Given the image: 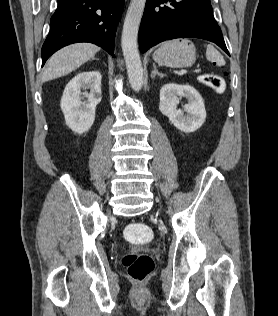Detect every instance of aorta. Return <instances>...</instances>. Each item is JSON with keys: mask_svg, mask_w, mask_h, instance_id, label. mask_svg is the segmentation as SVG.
I'll return each instance as SVG.
<instances>
[{"mask_svg": "<svg viewBox=\"0 0 278 316\" xmlns=\"http://www.w3.org/2000/svg\"><path fill=\"white\" fill-rule=\"evenodd\" d=\"M146 0H131L124 20L121 46L126 63L131 88L140 91L143 86V68L140 59L137 37Z\"/></svg>", "mask_w": 278, "mask_h": 316, "instance_id": "obj_1", "label": "aorta"}]
</instances>
